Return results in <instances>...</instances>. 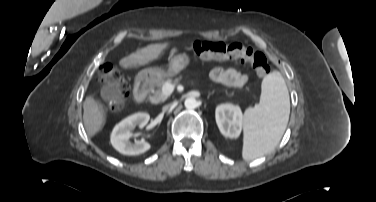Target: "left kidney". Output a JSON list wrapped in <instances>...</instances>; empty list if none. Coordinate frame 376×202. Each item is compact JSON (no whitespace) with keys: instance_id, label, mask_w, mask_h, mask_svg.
Here are the masks:
<instances>
[{"instance_id":"left-kidney-1","label":"left kidney","mask_w":376,"mask_h":202,"mask_svg":"<svg viewBox=\"0 0 376 202\" xmlns=\"http://www.w3.org/2000/svg\"><path fill=\"white\" fill-rule=\"evenodd\" d=\"M215 118L220 132L225 137L238 138L240 136L244 115L239 106L229 103L218 105Z\"/></svg>"}]
</instances>
